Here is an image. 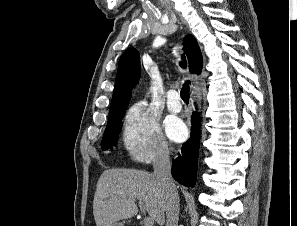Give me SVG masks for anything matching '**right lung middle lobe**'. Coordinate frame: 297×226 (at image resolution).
<instances>
[{"instance_id": "dd1d6c3e", "label": "right lung middle lobe", "mask_w": 297, "mask_h": 226, "mask_svg": "<svg viewBox=\"0 0 297 226\" xmlns=\"http://www.w3.org/2000/svg\"><path fill=\"white\" fill-rule=\"evenodd\" d=\"M127 105L110 108L109 120L107 123L106 131L102 141V149L106 150L111 148L113 144H116L118 141V134L120 133L122 127V118L126 111Z\"/></svg>"}]
</instances>
